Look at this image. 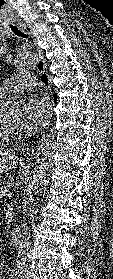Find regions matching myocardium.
Masks as SVG:
<instances>
[{
    "label": "myocardium",
    "mask_w": 113,
    "mask_h": 279,
    "mask_svg": "<svg viewBox=\"0 0 113 279\" xmlns=\"http://www.w3.org/2000/svg\"><path fill=\"white\" fill-rule=\"evenodd\" d=\"M11 106L6 105L0 110V133L5 139L15 138L21 134L19 129L8 123L9 110Z\"/></svg>",
    "instance_id": "obj_1"
}]
</instances>
